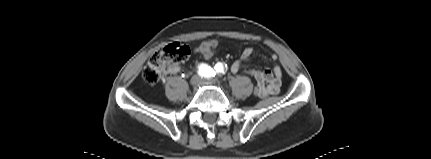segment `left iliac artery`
I'll list each match as a JSON object with an SVG mask.
<instances>
[{"mask_svg":"<svg viewBox=\"0 0 431 159\" xmlns=\"http://www.w3.org/2000/svg\"><path fill=\"white\" fill-rule=\"evenodd\" d=\"M226 66V65H225ZM225 66L222 64V63H217L216 65H215V71L213 70V74H212V76H214L216 73H218V74H224L225 73Z\"/></svg>","mask_w":431,"mask_h":159,"instance_id":"left-iliac-artery-1","label":"left iliac artery"}]
</instances>
